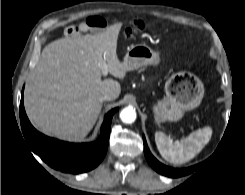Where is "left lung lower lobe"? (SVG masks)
<instances>
[{
    "instance_id": "1",
    "label": "left lung lower lobe",
    "mask_w": 245,
    "mask_h": 195,
    "mask_svg": "<svg viewBox=\"0 0 245 195\" xmlns=\"http://www.w3.org/2000/svg\"><path fill=\"white\" fill-rule=\"evenodd\" d=\"M143 141H144V153H145V157L148 163L154 170H156L161 175L176 178V177H181V176L190 174L196 170L198 165L188 167V168H182V169H175V168H171V167L163 165L157 159H155V157L149 151V148L147 146L144 136H143Z\"/></svg>"
}]
</instances>
